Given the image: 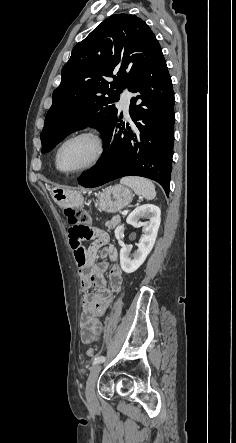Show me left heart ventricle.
Wrapping results in <instances>:
<instances>
[{
    "label": "left heart ventricle",
    "instance_id": "left-heart-ventricle-1",
    "mask_svg": "<svg viewBox=\"0 0 236 443\" xmlns=\"http://www.w3.org/2000/svg\"><path fill=\"white\" fill-rule=\"evenodd\" d=\"M96 147L87 137L68 142L60 153V167L63 170H74L87 165L94 157Z\"/></svg>",
    "mask_w": 236,
    "mask_h": 443
}]
</instances>
